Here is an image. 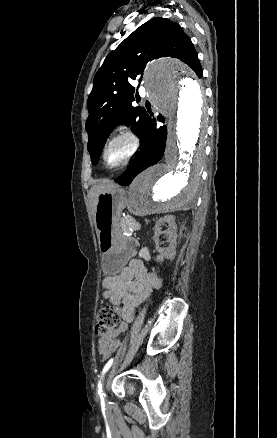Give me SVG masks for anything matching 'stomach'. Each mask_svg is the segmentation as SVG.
<instances>
[{
    "label": "stomach",
    "mask_w": 277,
    "mask_h": 438,
    "mask_svg": "<svg viewBox=\"0 0 277 438\" xmlns=\"http://www.w3.org/2000/svg\"><path fill=\"white\" fill-rule=\"evenodd\" d=\"M125 205V191L119 187L97 197L95 227L102 267L107 275L119 273L131 257V239L122 234L118 226Z\"/></svg>",
    "instance_id": "1"
}]
</instances>
